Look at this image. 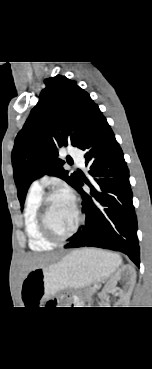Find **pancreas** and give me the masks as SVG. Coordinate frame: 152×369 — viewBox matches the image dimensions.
<instances>
[{
  "label": "pancreas",
  "mask_w": 152,
  "mask_h": 369,
  "mask_svg": "<svg viewBox=\"0 0 152 369\" xmlns=\"http://www.w3.org/2000/svg\"><path fill=\"white\" fill-rule=\"evenodd\" d=\"M94 292H95V289H94V287H89L87 290H86V293H87V295H93L94 294Z\"/></svg>",
  "instance_id": "cf45deb5"
}]
</instances>
